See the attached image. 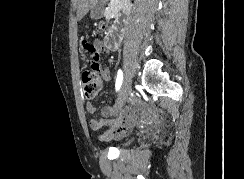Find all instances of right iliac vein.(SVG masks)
Masks as SVG:
<instances>
[{"label":"right iliac vein","mask_w":244,"mask_h":179,"mask_svg":"<svg viewBox=\"0 0 244 179\" xmlns=\"http://www.w3.org/2000/svg\"><path fill=\"white\" fill-rule=\"evenodd\" d=\"M130 92V80L126 76L119 91L117 102L114 106L116 113L124 106L128 93Z\"/></svg>","instance_id":"obj_1"}]
</instances>
